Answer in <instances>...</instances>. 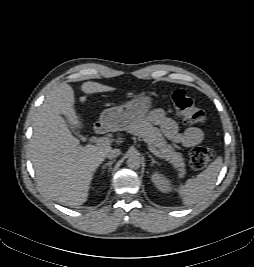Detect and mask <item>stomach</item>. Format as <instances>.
<instances>
[{"label":"stomach","mask_w":254,"mask_h":267,"mask_svg":"<svg viewBox=\"0 0 254 267\" xmlns=\"http://www.w3.org/2000/svg\"><path fill=\"white\" fill-rule=\"evenodd\" d=\"M152 104L153 99L150 95H135L125 104L105 109L100 115L99 123L114 131L128 130L148 114Z\"/></svg>","instance_id":"1"}]
</instances>
